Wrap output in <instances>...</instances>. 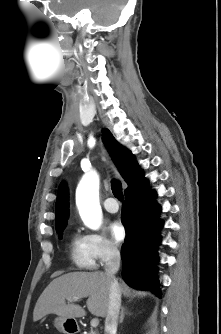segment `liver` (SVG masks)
<instances>
[{"instance_id":"obj_1","label":"liver","mask_w":221,"mask_h":334,"mask_svg":"<svg viewBox=\"0 0 221 334\" xmlns=\"http://www.w3.org/2000/svg\"><path fill=\"white\" fill-rule=\"evenodd\" d=\"M121 292L128 296L130 288L120 283ZM110 279L105 273L71 272L54 279L37 300L33 312L36 322L48 314H56L63 318L72 319L86 315L79 305L66 303L69 298H88L89 312L98 317H106L109 305Z\"/></svg>"}]
</instances>
